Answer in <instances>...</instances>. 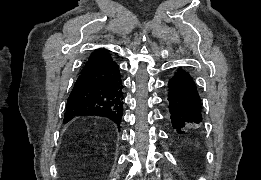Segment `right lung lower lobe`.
<instances>
[{
	"instance_id": "right-lung-lower-lobe-1",
	"label": "right lung lower lobe",
	"mask_w": 261,
	"mask_h": 180,
	"mask_svg": "<svg viewBox=\"0 0 261 180\" xmlns=\"http://www.w3.org/2000/svg\"><path fill=\"white\" fill-rule=\"evenodd\" d=\"M122 88L119 67L114 61L82 70L67 99L64 122L94 115L107 117L119 127L123 115Z\"/></svg>"
}]
</instances>
